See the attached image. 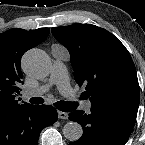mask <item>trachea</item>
Listing matches in <instances>:
<instances>
[{
  "mask_svg": "<svg viewBox=\"0 0 145 145\" xmlns=\"http://www.w3.org/2000/svg\"><path fill=\"white\" fill-rule=\"evenodd\" d=\"M30 103L32 104H42L44 102V99L41 97H32L29 100ZM54 106L59 109L60 111L63 112H70L74 109H76L77 104L74 102H69V101H58L54 103Z\"/></svg>",
  "mask_w": 145,
  "mask_h": 145,
  "instance_id": "obj_1",
  "label": "trachea"
}]
</instances>
